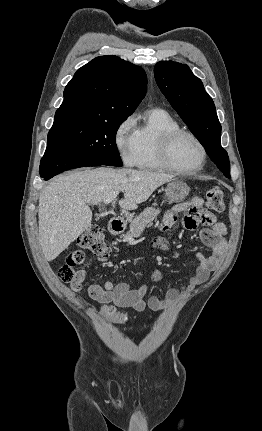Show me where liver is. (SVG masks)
Returning <instances> with one entry per match:
<instances>
[{
  "mask_svg": "<svg viewBox=\"0 0 262 431\" xmlns=\"http://www.w3.org/2000/svg\"><path fill=\"white\" fill-rule=\"evenodd\" d=\"M173 178L165 173L106 167L57 176L39 196V239L46 260H54L91 225L90 204L98 205L108 194L122 191L120 207L134 210Z\"/></svg>",
  "mask_w": 262,
  "mask_h": 431,
  "instance_id": "1",
  "label": "liver"
}]
</instances>
